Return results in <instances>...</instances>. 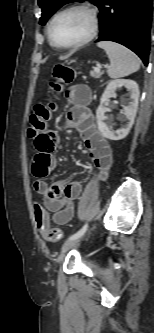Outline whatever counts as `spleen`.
Returning a JSON list of instances; mask_svg holds the SVG:
<instances>
[{"instance_id":"3e777b00","label":"spleen","mask_w":154,"mask_h":333,"mask_svg":"<svg viewBox=\"0 0 154 333\" xmlns=\"http://www.w3.org/2000/svg\"><path fill=\"white\" fill-rule=\"evenodd\" d=\"M97 46L105 50L110 60L107 70L110 78L125 77L140 69L139 57L126 47L110 41L99 42Z\"/></svg>"}]
</instances>
